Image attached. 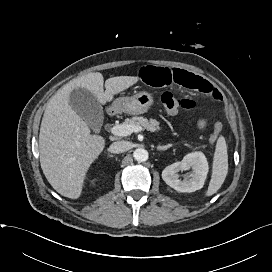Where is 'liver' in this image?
<instances>
[{
    "instance_id": "liver-1",
    "label": "liver",
    "mask_w": 272,
    "mask_h": 272,
    "mask_svg": "<svg viewBox=\"0 0 272 272\" xmlns=\"http://www.w3.org/2000/svg\"><path fill=\"white\" fill-rule=\"evenodd\" d=\"M138 80L135 76H118L104 83L101 73H89L70 81L51 98L41 122L39 152L42 171L59 194L80 197L86 173L105 147V139L90 134L87 123L70 106L72 90L85 88L99 103L106 104Z\"/></svg>"
}]
</instances>
